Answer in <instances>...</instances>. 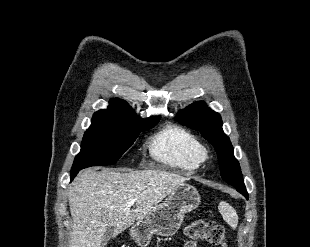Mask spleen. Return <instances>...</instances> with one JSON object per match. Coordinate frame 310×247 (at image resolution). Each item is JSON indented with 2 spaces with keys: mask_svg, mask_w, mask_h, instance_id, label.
I'll return each mask as SVG.
<instances>
[{
  "mask_svg": "<svg viewBox=\"0 0 310 247\" xmlns=\"http://www.w3.org/2000/svg\"><path fill=\"white\" fill-rule=\"evenodd\" d=\"M219 212L221 213L223 219L226 223L233 229L238 225V215L236 211L226 202H221L219 204Z\"/></svg>",
  "mask_w": 310,
  "mask_h": 247,
  "instance_id": "obj_1",
  "label": "spleen"
}]
</instances>
